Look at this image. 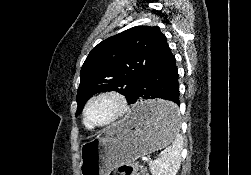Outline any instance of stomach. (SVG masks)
I'll use <instances>...</instances> for the list:
<instances>
[{"mask_svg":"<svg viewBox=\"0 0 251 175\" xmlns=\"http://www.w3.org/2000/svg\"><path fill=\"white\" fill-rule=\"evenodd\" d=\"M173 100H139L130 113L112 123L80 147L81 175H109L115 167L129 163L136 157L148 155L166 147L173 134H182L179 118L169 111H178Z\"/></svg>","mask_w":251,"mask_h":175,"instance_id":"0dacf381","label":"stomach"}]
</instances>
